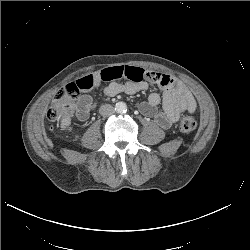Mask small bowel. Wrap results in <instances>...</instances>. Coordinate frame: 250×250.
Segmentation results:
<instances>
[{"label": "small bowel", "mask_w": 250, "mask_h": 250, "mask_svg": "<svg viewBox=\"0 0 250 250\" xmlns=\"http://www.w3.org/2000/svg\"><path fill=\"white\" fill-rule=\"evenodd\" d=\"M103 82L107 83L104 93L110 97L121 93L132 95L146 90L150 84L158 85L161 94H150L148 100L140 104V111L145 116L153 118L162 129H167L175 123L181 113L194 112L197 106L190 90L167 74L134 66H115L88 74L76 81L83 92L76 103V116L79 121L89 118L95 107V100L89 92ZM159 105L162 106L161 110L158 109ZM70 123V120L62 121L61 126L68 128Z\"/></svg>", "instance_id": "obj_1"}]
</instances>
